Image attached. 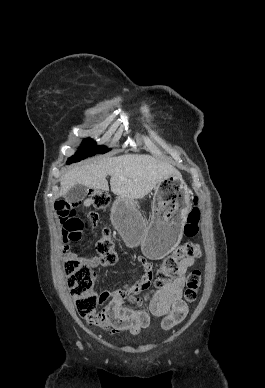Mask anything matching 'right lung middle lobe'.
I'll use <instances>...</instances> for the list:
<instances>
[{
    "label": "right lung middle lobe",
    "mask_w": 265,
    "mask_h": 388,
    "mask_svg": "<svg viewBox=\"0 0 265 388\" xmlns=\"http://www.w3.org/2000/svg\"><path fill=\"white\" fill-rule=\"evenodd\" d=\"M95 142H92V140L87 139L83 142L82 146L79 148V151L76 152L74 156L69 158L68 164L73 162H78L82 159H85L87 157L93 156L95 154H104L108 150L103 146H96Z\"/></svg>",
    "instance_id": "dd1d6c3e"
}]
</instances>
